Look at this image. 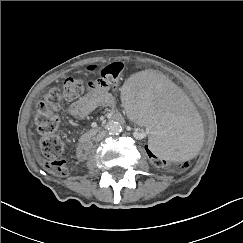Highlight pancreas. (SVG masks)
Segmentation results:
<instances>
[{
	"mask_svg": "<svg viewBox=\"0 0 243 243\" xmlns=\"http://www.w3.org/2000/svg\"><path fill=\"white\" fill-rule=\"evenodd\" d=\"M96 130H90L89 132L85 133L84 135L81 136L80 140H86V139H90L93 135H95Z\"/></svg>",
	"mask_w": 243,
	"mask_h": 243,
	"instance_id": "pancreas-1",
	"label": "pancreas"
}]
</instances>
